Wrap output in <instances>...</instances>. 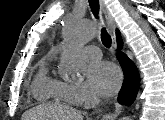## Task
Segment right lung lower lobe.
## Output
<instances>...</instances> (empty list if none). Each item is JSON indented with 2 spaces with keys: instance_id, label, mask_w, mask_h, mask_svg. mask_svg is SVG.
Wrapping results in <instances>:
<instances>
[{
  "instance_id": "obj_1",
  "label": "right lung lower lobe",
  "mask_w": 165,
  "mask_h": 120,
  "mask_svg": "<svg viewBox=\"0 0 165 120\" xmlns=\"http://www.w3.org/2000/svg\"><path fill=\"white\" fill-rule=\"evenodd\" d=\"M117 45V58L124 72V82L118 95V102L123 105H131L140 87V76L134 63L120 51L123 46L121 37L117 38Z\"/></svg>"
}]
</instances>
